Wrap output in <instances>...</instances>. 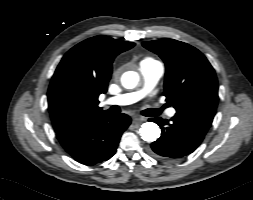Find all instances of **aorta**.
Here are the masks:
<instances>
[{
  "label": "aorta",
  "mask_w": 253,
  "mask_h": 200,
  "mask_svg": "<svg viewBox=\"0 0 253 200\" xmlns=\"http://www.w3.org/2000/svg\"><path fill=\"white\" fill-rule=\"evenodd\" d=\"M140 81L139 75L134 71L124 73L122 76V85L126 89H134ZM141 138L147 142L156 141L161 134L159 126L153 122H146L139 129Z\"/></svg>",
  "instance_id": "aorta-1"
}]
</instances>
